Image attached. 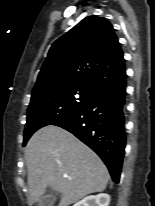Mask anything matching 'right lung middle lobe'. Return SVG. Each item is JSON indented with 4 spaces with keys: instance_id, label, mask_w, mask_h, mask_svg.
Wrapping results in <instances>:
<instances>
[{
    "instance_id": "dd1d6c3e",
    "label": "right lung middle lobe",
    "mask_w": 155,
    "mask_h": 206,
    "mask_svg": "<svg viewBox=\"0 0 155 206\" xmlns=\"http://www.w3.org/2000/svg\"><path fill=\"white\" fill-rule=\"evenodd\" d=\"M99 93L84 85L66 86L32 94L27 111L23 146L38 129L73 115Z\"/></svg>"
}]
</instances>
